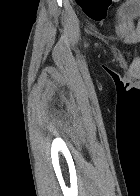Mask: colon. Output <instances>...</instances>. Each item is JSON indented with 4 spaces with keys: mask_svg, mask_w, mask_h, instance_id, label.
Segmentation results:
<instances>
[{
    "mask_svg": "<svg viewBox=\"0 0 140 196\" xmlns=\"http://www.w3.org/2000/svg\"><path fill=\"white\" fill-rule=\"evenodd\" d=\"M78 3H79V5H81L83 8H84V6H85V0H76ZM110 2V0H105L104 1V3L105 4H108Z\"/></svg>",
    "mask_w": 140,
    "mask_h": 196,
    "instance_id": "5ec220e1",
    "label": "colon"
}]
</instances>
